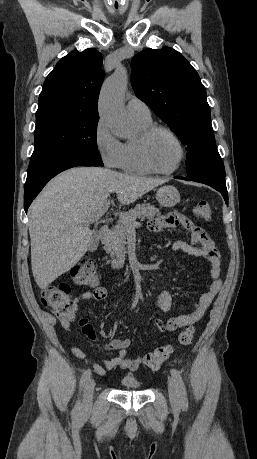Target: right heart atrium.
<instances>
[{
  "label": "right heart atrium",
  "instance_id": "right-heart-atrium-1",
  "mask_svg": "<svg viewBox=\"0 0 257 459\" xmlns=\"http://www.w3.org/2000/svg\"><path fill=\"white\" fill-rule=\"evenodd\" d=\"M94 143L103 163L110 168H118L122 153L123 143L110 131L103 119H99L94 130Z\"/></svg>",
  "mask_w": 257,
  "mask_h": 459
}]
</instances>
